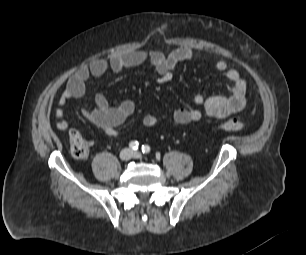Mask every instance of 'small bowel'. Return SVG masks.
<instances>
[{"label": "small bowel", "instance_id": "c3829d8e", "mask_svg": "<svg viewBox=\"0 0 306 255\" xmlns=\"http://www.w3.org/2000/svg\"><path fill=\"white\" fill-rule=\"evenodd\" d=\"M194 52L186 46L178 47L165 54L160 51L135 50L114 54L109 59H96L89 65L80 67L68 80L66 88L59 98V107L56 111L58 121L56 127L65 130L68 123L65 119L64 107L70 99H80L85 95L86 82L90 77H100L108 70L114 72L126 68L147 64L156 73V82L159 84L170 81L178 64L191 60ZM214 69L224 74L229 85L226 95L204 96L196 94L193 103L201 107L178 109L173 114V119L178 124H190L201 120L203 113L216 119H225L240 112L247 103V85L236 69L228 67L225 60H217ZM135 111V104L131 100H124L116 106H111L103 94L94 98L93 105H83L81 113L86 120L101 129L106 135L115 137L117 127L123 124ZM142 123L145 127H153L158 123V118L148 114Z\"/></svg>", "mask_w": 306, "mask_h": 255}]
</instances>
